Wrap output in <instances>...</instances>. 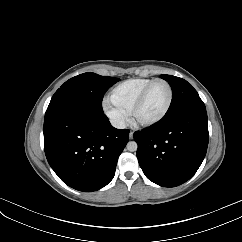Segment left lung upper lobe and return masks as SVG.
I'll use <instances>...</instances> for the list:
<instances>
[{"label":"left lung upper lobe","mask_w":242,"mask_h":242,"mask_svg":"<svg viewBox=\"0 0 242 242\" xmlns=\"http://www.w3.org/2000/svg\"><path fill=\"white\" fill-rule=\"evenodd\" d=\"M160 77L170 84L173 92L172 102L166 115L181 110L187 106L204 104L197 91L186 80L164 74Z\"/></svg>","instance_id":"obj_1"}]
</instances>
